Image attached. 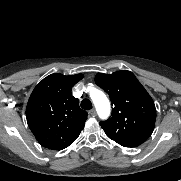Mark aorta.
<instances>
[{"label":"aorta","instance_id":"762f6f07","mask_svg":"<svg viewBox=\"0 0 181 181\" xmlns=\"http://www.w3.org/2000/svg\"><path fill=\"white\" fill-rule=\"evenodd\" d=\"M91 99L96 107L97 113L101 119H106L110 115V102L106 95L93 88L90 93Z\"/></svg>","mask_w":181,"mask_h":181}]
</instances>
